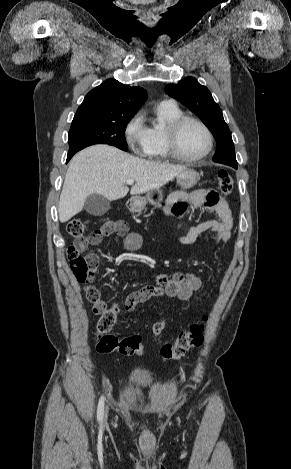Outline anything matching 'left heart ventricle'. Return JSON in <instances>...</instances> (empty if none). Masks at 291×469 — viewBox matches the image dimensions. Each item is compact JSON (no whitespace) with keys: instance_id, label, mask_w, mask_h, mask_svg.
Returning <instances> with one entry per match:
<instances>
[{"instance_id":"1","label":"left heart ventricle","mask_w":291,"mask_h":469,"mask_svg":"<svg viewBox=\"0 0 291 469\" xmlns=\"http://www.w3.org/2000/svg\"><path fill=\"white\" fill-rule=\"evenodd\" d=\"M207 147V137L202 128L193 122H187L180 130L178 136V148L186 157H197Z\"/></svg>"}]
</instances>
